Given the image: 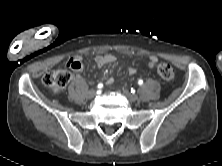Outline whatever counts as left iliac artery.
I'll list each match as a JSON object with an SVG mask.
<instances>
[{"label": "left iliac artery", "mask_w": 222, "mask_h": 166, "mask_svg": "<svg viewBox=\"0 0 222 166\" xmlns=\"http://www.w3.org/2000/svg\"><path fill=\"white\" fill-rule=\"evenodd\" d=\"M138 84H139V85H142V84H143V80L140 79V80L138 81Z\"/></svg>", "instance_id": "1"}]
</instances>
